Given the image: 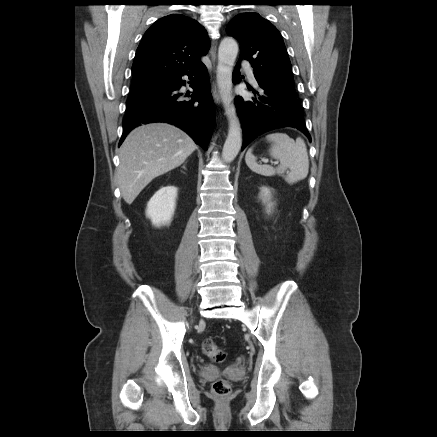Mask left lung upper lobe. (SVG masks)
Returning <instances> with one entry per match:
<instances>
[{"mask_svg":"<svg viewBox=\"0 0 437 437\" xmlns=\"http://www.w3.org/2000/svg\"><path fill=\"white\" fill-rule=\"evenodd\" d=\"M226 32L239 41V60L251 63L258 81L296 96L287 50L273 24L258 13H241L229 22Z\"/></svg>","mask_w":437,"mask_h":437,"instance_id":"5c2ea615","label":"left lung upper lobe"}]
</instances>
